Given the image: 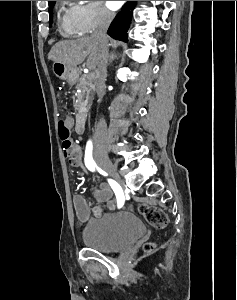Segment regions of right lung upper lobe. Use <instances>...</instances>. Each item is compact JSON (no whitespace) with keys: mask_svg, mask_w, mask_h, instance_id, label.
Returning <instances> with one entry per match:
<instances>
[{"mask_svg":"<svg viewBox=\"0 0 237 300\" xmlns=\"http://www.w3.org/2000/svg\"><path fill=\"white\" fill-rule=\"evenodd\" d=\"M53 1H49V4L52 3Z\"/></svg>","mask_w":237,"mask_h":300,"instance_id":"1","label":"right lung upper lobe"}]
</instances>
